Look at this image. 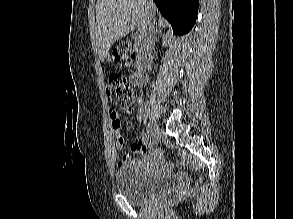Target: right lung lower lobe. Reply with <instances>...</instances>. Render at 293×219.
I'll use <instances>...</instances> for the list:
<instances>
[{"label": "right lung lower lobe", "instance_id": "98d812e1", "mask_svg": "<svg viewBox=\"0 0 293 219\" xmlns=\"http://www.w3.org/2000/svg\"><path fill=\"white\" fill-rule=\"evenodd\" d=\"M161 14L172 25L174 34L184 35L193 27L198 13V0H154Z\"/></svg>", "mask_w": 293, "mask_h": 219}]
</instances>
